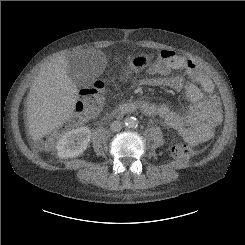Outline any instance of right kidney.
Wrapping results in <instances>:
<instances>
[{"instance_id": "1", "label": "right kidney", "mask_w": 245, "mask_h": 245, "mask_svg": "<svg viewBox=\"0 0 245 245\" xmlns=\"http://www.w3.org/2000/svg\"><path fill=\"white\" fill-rule=\"evenodd\" d=\"M91 131L87 127H79L68 131L56 144L60 158H75L81 155L88 147Z\"/></svg>"}]
</instances>
